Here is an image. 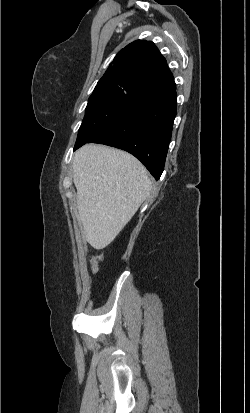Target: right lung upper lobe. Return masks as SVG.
Wrapping results in <instances>:
<instances>
[{"instance_id":"obj_1","label":"right lung upper lobe","mask_w":250,"mask_h":413,"mask_svg":"<svg viewBox=\"0 0 250 413\" xmlns=\"http://www.w3.org/2000/svg\"><path fill=\"white\" fill-rule=\"evenodd\" d=\"M96 88H123L142 95L176 88L166 60L153 42L130 43L120 50Z\"/></svg>"}]
</instances>
